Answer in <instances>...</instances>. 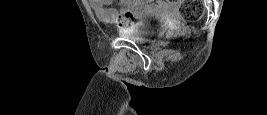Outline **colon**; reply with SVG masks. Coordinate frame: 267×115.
Here are the masks:
<instances>
[{
  "instance_id": "1",
  "label": "colon",
  "mask_w": 267,
  "mask_h": 115,
  "mask_svg": "<svg viewBox=\"0 0 267 115\" xmlns=\"http://www.w3.org/2000/svg\"><path fill=\"white\" fill-rule=\"evenodd\" d=\"M180 7V15L187 23L199 20L203 14V3L200 0H173ZM134 10L131 7L123 9L119 15L122 22H129L134 18ZM191 27L187 24L168 32V36L178 35L189 32Z\"/></svg>"
}]
</instances>
